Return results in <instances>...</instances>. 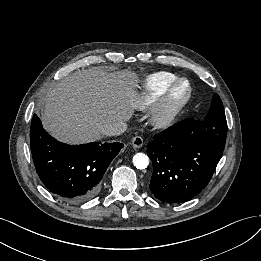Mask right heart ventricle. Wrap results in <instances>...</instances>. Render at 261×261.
Instances as JSON below:
<instances>
[{"label":"right heart ventricle","instance_id":"right-heart-ventricle-1","mask_svg":"<svg viewBox=\"0 0 261 261\" xmlns=\"http://www.w3.org/2000/svg\"><path fill=\"white\" fill-rule=\"evenodd\" d=\"M176 79L177 75L170 72H157L147 76L142 81L136 108L140 111L152 109Z\"/></svg>","mask_w":261,"mask_h":261}]
</instances>
